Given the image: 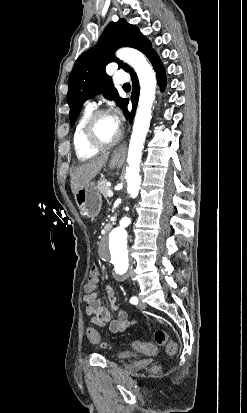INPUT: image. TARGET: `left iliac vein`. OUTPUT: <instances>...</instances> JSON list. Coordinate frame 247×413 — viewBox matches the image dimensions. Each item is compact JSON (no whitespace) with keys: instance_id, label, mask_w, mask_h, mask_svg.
<instances>
[{"instance_id":"4c4485c4","label":"left iliac vein","mask_w":247,"mask_h":413,"mask_svg":"<svg viewBox=\"0 0 247 413\" xmlns=\"http://www.w3.org/2000/svg\"><path fill=\"white\" fill-rule=\"evenodd\" d=\"M138 308H141V309H143V308H145V305H144V303L142 302V300H141V298L139 297V302H138Z\"/></svg>"}]
</instances>
